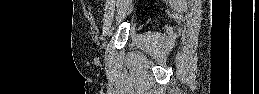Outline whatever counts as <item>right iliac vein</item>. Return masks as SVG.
<instances>
[{
	"instance_id": "1",
	"label": "right iliac vein",
	"mask_w": 259,
	"mask_h": 94,
	"mask_svg": "<svg viewBox=\"0 0 259 94\" xmlns=\"http://www.w3.org/2000/svg\"><path fill=\"white\" fill-rule=\"evenodd\" d=\"M114 10H115L114 3H111L106 9L105 20H104L103 29H102V37H106L110 31L113 16H114ZM127 11H129V8L126 9V12Z\"/></svg>"
}]
</instances>
